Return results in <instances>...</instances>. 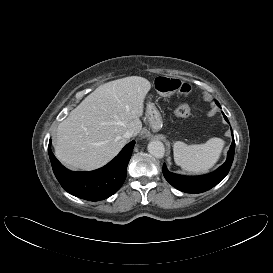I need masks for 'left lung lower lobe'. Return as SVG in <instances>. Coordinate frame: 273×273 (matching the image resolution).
I'll use <instances>...</instances> for the list:
<instances>
[{"label":"left lung lower lobe","mask_w":273,"mask_h":273,"mask_svg":"<svg viewBox=\"0 0 273 273\" xmlns=\"http://www.w3.org/2000/svg\"><path fill=\"white\" fill-rule=\"evenodd\" d=\"M225 120L228 122L227 117L223 113ZM235 151V141L233 137L230 150L227 154L226 162L219 167L216 171L203 176H193L187 177L178 174L171 173L167 170L166 165H163V175L165 179L176 189L186 192V193H202L205 192L215 185H217L221 180L225 178L228 174L230 167L233 162Z\"/></svg>","instance_id":"left-lung-lower-lobe-1"}]
</instances>
